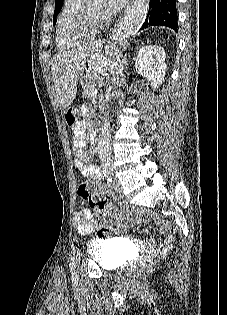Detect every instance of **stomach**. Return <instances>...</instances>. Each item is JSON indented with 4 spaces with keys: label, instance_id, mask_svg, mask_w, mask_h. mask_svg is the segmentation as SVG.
<instances>
[{
    "label": "stomach",
    "instance_id": "obj_1",
    "mask_svg": "<svg viewBox=\"0 0 227 315\" xmlns=\"http://www.w3.org/2000/svg\"><path fill=\"white\" fill-rule=\"evenodd\" d=\"M95 70L92 68L89 64L86 65V68L83 70V80H78L77 85L80 89V91H89L90 86L88 82H94ZM74 115H76V112H73Z\"/></svg>",
    "mask_w": 227,
    "mask_h": 315
}]
</instances>
